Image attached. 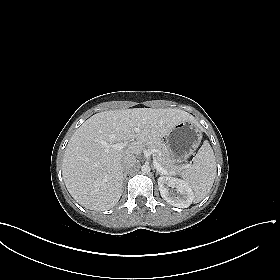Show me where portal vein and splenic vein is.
I'll return each mask as SVG.
<instances>
[{
  "mask_svg": "<svg viewBox=\"0 0 280 280\" xmlns=\"http://www.w3.org/2000/svg\"><path fill=\"white\" fill-rule=\"evenodd\" d=\"M134 131H135V132H140V128L135 127V128H134ZM126 146H127V143H126V142L116 143V144L113 145V147H114L115 149H118V150L123 149V148H125ZM153 164H154V167H155L159 172H161L162 174H164V175H170V173H169L167 170H165V169L159 164V162H158L155 158H154V160H153Z\"/></svg>",
  "mask_w": 280,
  "mask_h": 280,
  "instance_id": "1",
  "label": "portal vein and splenic vein"
}]
</instances>
